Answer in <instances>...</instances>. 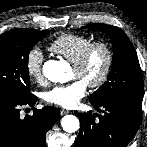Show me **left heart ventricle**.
Here are the masks:
<instances>
[{"label": "left heart ventricle", "instance_id": "1", "mask_svg": "<svg viewBox=\"0 0 147 147\" xmlns=\"http://www.w3.org/2000/svg\"><path fill=\"white\" fill-rule=\"evenodd\" d=\"M105 65V53L103 50L98 49L92 55L86 68L78 72L74 68L71 72L72 79H80L86 83L93 81L99 77Z\"/></svg>", "mask_w": 147, "mask_h": 147}]
</instances>
